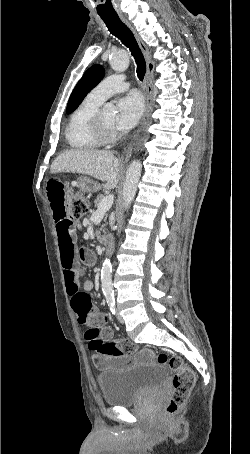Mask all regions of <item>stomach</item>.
Wrapping results in <instances>:
<instances>
[{"label":"stomach","instance_id":"1","mask_svg":"<svg viewBox=\"0 0 250 454\" xmlns=\"http://www.w3.org/2000/svg\"><path fill=\"white\" fill-rule=\"evenodd\" d=\"M46 184H48V183H46ZM82 187L87 191H96L98 189V186L89 179H84V183H83Z\"/></svg>","mask_w":250,"mask_h":454}]
</instances>
